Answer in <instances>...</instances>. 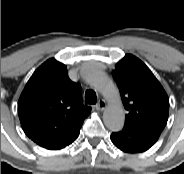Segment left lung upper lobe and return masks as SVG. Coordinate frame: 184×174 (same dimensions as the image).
I'll use <instances>...</instances> for the list:
<instances>
[{
	"instance_id": "left-lung-upper-lobe-1",
	"label": "left lung upper lobe",
	"mask_w": 184,
	"mask_h": 174,
	"mask_svg": "<svg viewBox=\"0 0 184 174\" xmlns=\"http://www.w3.org/2000/svg\"><path fill=\"white\" fill-rule=\"evenodd\" d=\"M127 110L124 127L159 137L169 112L168 96L138 58L127 54L112 72Z\"/></svg>"
}]
</instances>
